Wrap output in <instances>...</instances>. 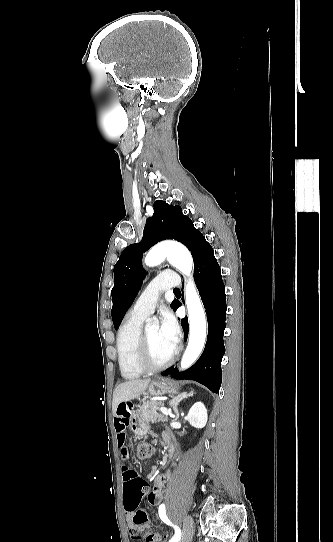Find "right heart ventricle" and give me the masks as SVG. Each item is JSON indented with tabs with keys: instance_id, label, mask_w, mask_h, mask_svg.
Returning a JSON list of instances; mask_svg holds the SVG:
<instances>
[{
	"instance_id": "right-heart-ventricle-1",
	"label": "right heart ventricle",
	"mask_w": 333,
	"mask_h": 542,
	"mask_svg": "<svg viewBox=\"0 0 333 542\" xmlns=\"http://www.w3.org/2000/svg\"><path fill=\"white\" fill-rule=\"evenodd\" d=\"M145 317H135L131 314L120 327L116 348L121 375L128 380L138 379L143 375L135 362V350L138 338L142 332V324Z\"/></svg>"
}]
</instances>
